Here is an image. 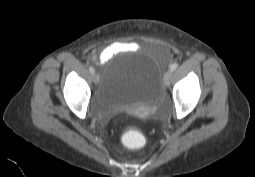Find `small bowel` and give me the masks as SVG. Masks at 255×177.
Masks as SVG:
<instances>
[{
    "label": "small bowel",
    "mask_w": 255,
    "mask_h": 177,
    "mask_svg": "<svg viewBox=\"0 0 255 177\" xmlns=\"http://www.w3.org/2000/svg\"><path fill=\"white\" fill-rule=\"evenodd\" d=\"M137 47V44L133 42L115 43L103 49L99 55H97L96 60L98 64H105L118 53L122 51L135 50Z\"/></svg>",
    "instance_id": "c3829d8e"
}]
</instances>
